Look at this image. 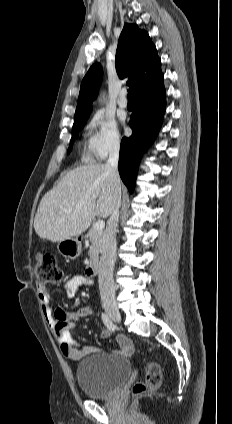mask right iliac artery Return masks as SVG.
Here are the masks:
<instances>
[{"instance_id": "82829eb1", "label": "right iliac artery", "mask_w": 232, "mask_h": 424, "mask_svg": "<svg viewBox=\"0 0 232 424\" xmlns=\"http://www.w3.org/2000/svg\"><path fill=\"white\" fill-rule=\"evenodd\" d=\"M102 320L103 323L105 324V326L111 330V331H115L116 330V326L113 324V322L111 321V319L109 318V316L105 313H102Z\"/></svg>"}]
</instances>
